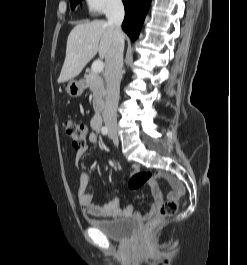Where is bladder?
Returning <instances> with one entry per match:
<instances>
[{
    "mask_svg": "<svg viewBox=\"0 0 247 265\" xmlns=\"http://www.w3.org/2000/svg\"><path fill=\"white\" fill-rule=\"evenodd\" d=\"M88 223L92 228L116 241L129 239L135 229V224L132 220L123 218L112 220L90 219Z\"/></svg>",
    "mask_w": 247,
    "mask_h": 265,
    "instance_id": "31cf9c89",
    "label": "bladder"
}]
</instances>
